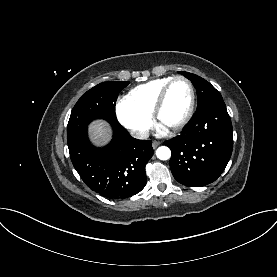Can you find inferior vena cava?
<instances>
[{"instance_id": "obj_1", "label": "inferior vena cava", "mask_w": 277, "mask_h": 277, "mask_svg": "<svg viewBox=\"0 0 277 277\" xmlns=\"http://www.w3.org/2000/svg\"><path fill=\"white\" fill-rule=\"evenodd\" d=\"M130 134L137 139H146L149 137V132L147 130H131Z\"/></svg>"}]
</instances>
